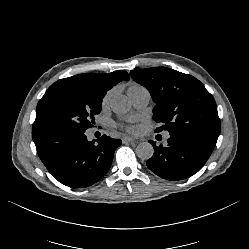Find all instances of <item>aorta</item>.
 Returning a JSON list of instances; mask_svg holds the SVG:
<instances>
[{
    "mask_svg": "<svg viewBox=\"0 0 249 249\" xmlns=\"http://www.w3.org/2000/svg\"><path fill=\"white\" fill-rule=\"evenodd\" d=\"M110 107L114 113L122 115L131 109V104L126 96L115 95L110 101ZM136 154L140 159L148 160L154 154L153 146L148 142H142L137 146Z\"/></svg>",
    "mask_w": 249,
    "mask_h": 249,
    "instance_id": "762f6f07",
    "label": "aorta"
}]
</instances>
